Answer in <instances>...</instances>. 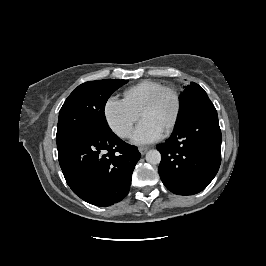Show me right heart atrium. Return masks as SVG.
Listing matches in <instances>:
<instances>
[{"label":"right heart atrium","mask_w":266,"mask_h":266,"mask_svg":"<svg viewBox=\"0 0 266 266\" xmlns=\"http://www.w3.org/2000/svg\"><path fill=\"white\" fill-rule=\"evenodd\" d=\"M104 118L110 129L119 137L130 136L134 124L139 118L135 111L124 99L109 97L104 104Z\"/></svg>","instance_id":"right-heart-atrium-1"}]
</instances>
